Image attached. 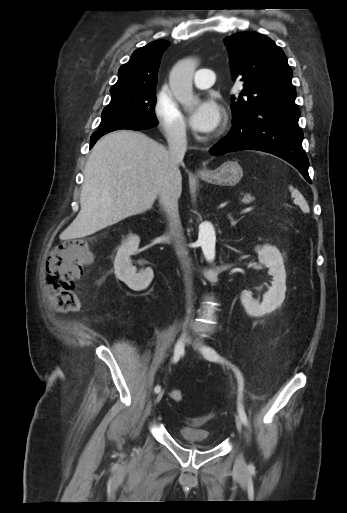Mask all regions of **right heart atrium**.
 <instances>
[{
  "label": "right heart atrium",
  "instance_id": "obj_1",
  "mask_svg": "<svg viewBox=\"0 0 347 513\" xmlns=\"http://www.w3.org/2000/svg\"><path fill=\"white\" fill-rule=\"evenodd\" d=\"M153 114L158 127L171 142H183L187 138L186 119L176 103L168 85H162L155 94Z\"/></svg>",
  "mask_w": 347,
  "mask_h": 513
}]
</instances>
